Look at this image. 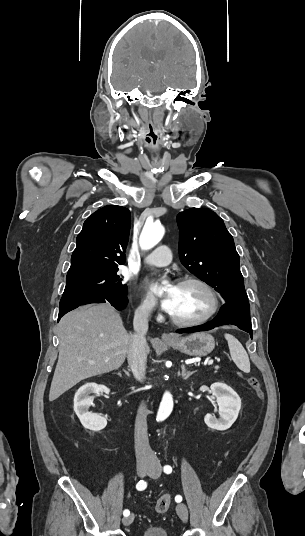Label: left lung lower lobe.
<instances>
[{
    "instance_id": "0a47b994",
    "label": "left lung lower lobe",
    "mask_w": 305,
    "mask_h": 536,
    "mask_svg": "<svg viewBox=\"0 0 305 536\" xmlns=\"http://www.w3.org/2000/svg\"><path fill=\"white\" fill-rule=\"evenodd\" d=\"M236 325L241 330H244L248 332L252 337L253 331L251 326V319H250V309H249V302H234V303H226L224 304L218 315L215 317V319L212 322H209L205 325L198 326L195 328H188V329H180L177 330V333H193L198 331H206L213 329L214 327L221 326V325Z\"/></svg>"
}]
</instances>
